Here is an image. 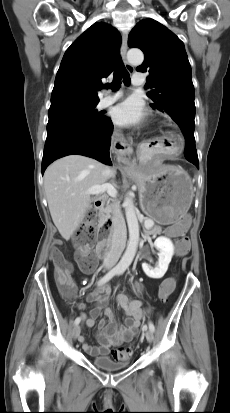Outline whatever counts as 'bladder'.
<instances>
[{"instance_id": "bladder-1", "label": "bladder", "mask_w": 230, "mask_h": 413, "mask_svg": "<svg viewBox=\"0 0 230 413\" xmlns=\"http://www.w3.org/2000/svg\"><path fill=\"white\" fill-rule=\"evenodd\" d=\"M92 363L99 369L104 371H118L129 366L130 361L115 362L110 357L100 356L92 359Z\"/></svg>"}]
</instances>
